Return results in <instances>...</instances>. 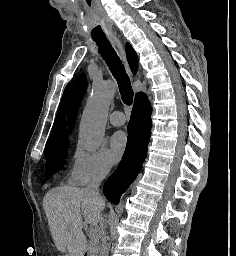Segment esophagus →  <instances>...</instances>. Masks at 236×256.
I'll list each match as a JSON object with an SVG mask.
<instances>
[{
	"label": "esophagus",
	"mask_w": 236,
	"mask_h": 256,
	"mask_svg": "<svg viewBox=\"0 0 236 256\" xmlns=\"http://www.w3.org/2000/svg\"><path fill=\"white\" fill-rule=\"evenodd\" d=\"M112 38H113V41H114V43H115V45H116V47H117V49H118V51H119V54H120L122 60H123L124 63H125L126 70H127V71L129 72V74L132 76V73H131V71H130V68H129L128 63H127V60H126L125 51H124V48H123V46H122L121 41L119 40V38H118L116 35H112Z\"/></svg>",
	"instance_id": "esophagus-1"
}]
</instances>
